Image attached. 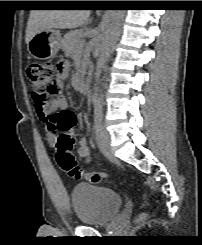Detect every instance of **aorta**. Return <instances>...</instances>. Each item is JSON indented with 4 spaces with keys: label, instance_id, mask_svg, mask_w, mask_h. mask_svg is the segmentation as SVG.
<instances>
[{
    "label": "aorta",
    "instance_id": "762f6f07",
    "mask_svg": "<svg viewBox=\"0 0 202 245\" xmlns=\"http://www.w3.org/2000/svg\"><path fill=\"white\" fill-rule=\"evenodd\" d=\"M124 18V10H110L104 24V32L102 36L99 57L96 64L95 76V88L94 99L97 94V85L100 75L104 69V66L110 57L113 45L120 31V27Z\"/></svg>",
    "mask_w": 202,
    "mask_h": 245
}]
</instances>
